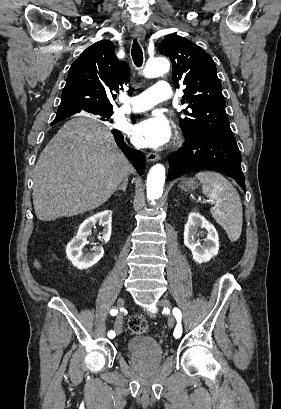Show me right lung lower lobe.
I'll list each match as a JSON object with an SVG mask.
<instances>
[{
  "mask_svg": "<svg viewBox=\"0 0 281 409\" xmlns=\"http://www.w3.org/2000/svg\"><path fill=\"white\" fill-rule=\"evenodd\" d=\"M74 111L58 112L54 121H62L63 119L72 116ZM117 145L122 149L127 158L131 161L137 172L142 175L145 170V156L141 151L133 150L124 143V138L121 132L112 130Z\"/></svg>",
  "mask_w": 281,
  "mask_h": 409,
  "instance_id": "98d812e1",
  "label": "right lung lower lobe"
}]
</instances>
